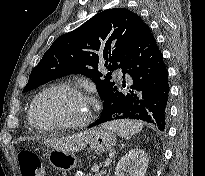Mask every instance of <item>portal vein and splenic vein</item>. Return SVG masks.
Masks as SVG:
<instances>
[{"instance_id": "portal-vein-and-splenic-vein-1", "label": "portal vein and splenic vein", "mask_w": 205, "mask_h": 176, "mask_svg": "<svg viewBox=\"0 0 205 176\" xmlns=\"http://www.w3.org/2000/svg\"><path fill=\"white\" fill-rule=\"evenodd\" d=\"M111 164V158L106 159L104 166H109Z\"/></svg>"}]
</instances>
